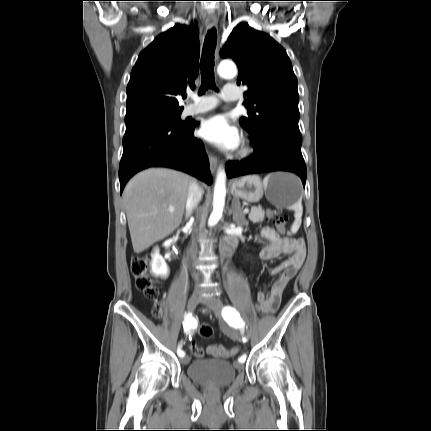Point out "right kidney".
Segmentation results:
<instances>
[{
  "instance_id": "right-kidney-1",
  "label": "right kidney",
  "mask_w": 431,
  "mask_h": 431,
  "mask_svg": "<svg viewBox=\"0 0 431 431\" xmlns=\"http://www.w3.org/2000/svg\"><path fill=\"white\" fill-rule=\"evenodd\" d=\"M151 271L154 275L164 278H166L169 274V268L164 258L160 255L158 248L154 250L152 255Z\"/></svg>"
}]
</instances>
